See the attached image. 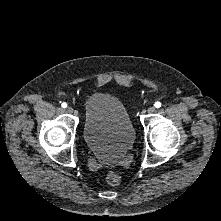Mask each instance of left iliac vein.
I'll use <instances>...</instances> for the list:
<instances>
[{
	"mask_svg": "<svg viewBox=\"0 0 221 221\" xmlns=\"http://www.w3.org/2000/svg\"><path fill=\"white\" fill-rule=\"evenodd\" d=\"M147 112H148L149 114L154 113V112H155V107H154V106L149 107L148 110H147Z\"/></svg>",
	"mask_w": 221,
	"mask_h": 221,
	"instance_id": "1",
	"label": "left iliac vein"
}]
</instances>
